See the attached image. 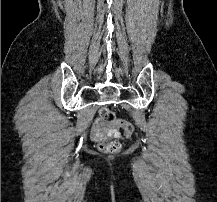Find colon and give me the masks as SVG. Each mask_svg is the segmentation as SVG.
Returning <instances> with one entry per match:
<instances>
[{
  "instance_id": "colon-1",
  "label": "colon",
  "mask_w": 217,
  "mask_h": 202,
  "mask_svg": "<svg viewBox=\"0 0 217 202\" xmlns=\"http://www.w3.org/2000/svg\"><path fill=\"white\" fill-rule=\"evenodd\" d=\"M100 115L106 123H112L114 126L118 124L119 126H122V128H126L123 131V134L127 137L126 139L128 141L131 139L129 136L132 135V132H134V127H132L131 123L125 121L124 118H118V122H114L112 118L115 117V114L110 111L108 107H101ZM100 148L106 153L114 154L119 150L120 143L117 140L107 141L101 143Z\"/></svg>"
}]
</instances>
